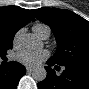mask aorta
Listing matches in <instances>:
<instances>
[{
	"label": "aorta",
	"mask_w": 89,
	"mask_h": 89,
	"mask_svg": "<svg viewBox=\"0 0 89 89\" xmlns=\"http://www.w3.org/2000/svg\"><path fill=\"white\" fill-rule=\"evenodd\" d=\"M23 46L28 50H37L43 47V42L40 41L34 34L28 33L23 36ZM47 76L46 69L44 67H37L32 72V77L36 81H43Z\"/></svg>",
	"instance_id": "762f6f07"
}]
</instances>
